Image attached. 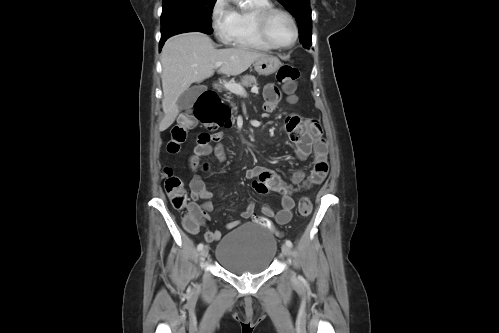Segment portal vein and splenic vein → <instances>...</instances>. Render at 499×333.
Returning <instances> with one entry per match:
<instances>
[{"instance_id":"18ae733b","label":"portal vein and splenic vein","mask_w":499,"mask_h":333,"mask_svg":"<svg viewBox=\"0 0 499 333\" xmlns=\"http://www.w3.org/2000/svg\"><path fill=\"white\" fill-rule=\"evenodd\" d=\"M221 66H222V62L215 63L216 68H219ZM223 86H224V88L228 89L229 91H231L232 93H235L237 95H240L243 97H246V95H247L245 89L240 84L231 83V82H224ZM252 92H258V88H253Z\"/></svg>"}]
</instances>
